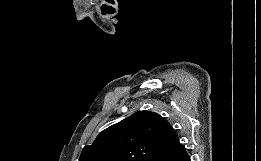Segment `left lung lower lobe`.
<instances>
[{"mask_svg": "<svg viewBox=\"0 0 261 161\" xmlns=\"http://www.w3.org/2000/svg\"><path fill=\"white\" fill-rule=\"evenodd\" d=\"M150 161H191L184 145L180 144L178 137L168 146L161 147Z\"/></svg>", "mask_w": 261, "mask_h": 161, "instance_id": "0a47b994", "label": "left lung lower lobe"}]
</instances>
